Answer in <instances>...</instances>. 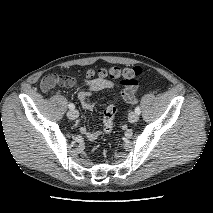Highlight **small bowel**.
<instances>
[{
    "label": "small bowel",
    "instance_id": "small-bowel-1",
    "mask_svg": "<svg viewBox=\"0 0 213 213\" xmlns=\"http://www.w3.org/2000/svg\"><path fill=\"white\" fill-rule=\"evenodd\" d=\"M58 75L50 74L43 78L41 82V88L44 92L50 91L56 85L61 86H72L75 84L74 79L71 82H60L58 79ZM116 88V84L105 78H84L81 81V86L79 89V97L81 99L83 108L86 110H91L94 106V102L91 97L93 93L103 91V90H112ZM122 93V92H121ZM122 95V94H121ZM123 97V96H122ZM126 103H134L136 102V88L132 89V95L129 98L123 97ZM81 133H83L89 140L94 141L98 138L99 132L97 131H87L85 128L80 129Z\"/></svg>",
    "mask_w": 213,
    "mask_h": 213
}]
</instances>
